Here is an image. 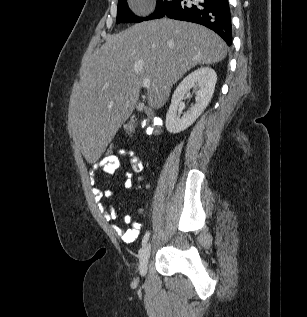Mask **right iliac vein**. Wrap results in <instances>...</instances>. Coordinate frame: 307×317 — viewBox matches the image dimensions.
<instances>
[{
  "label": "right iliac vein",
  "mask_w": 307,
  "mask_h": 317,
  "mask_svg": "<svg viewBox=\"0 0 307 317\" xmlns=\"http://www.w3.org/2000/svg\"><path fill=\"white\" fill-rule=\"evenodd\" d=\"M150 253V244H146L139 253V272L141 276H145L147 273Z\"/></svg>",
  "instance_id": "right-iliac-vein-1"
}]
</instances>
